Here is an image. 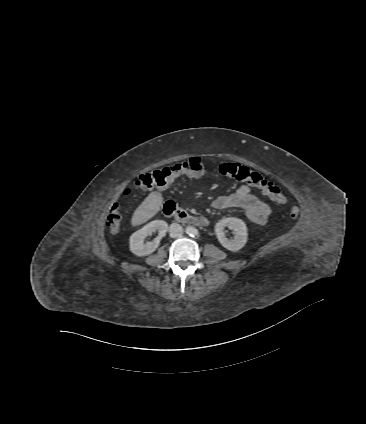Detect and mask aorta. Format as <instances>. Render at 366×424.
Returning <instances> with one entry per match:
<instances>
[{
  "instance_id": "762f6f07",
  "label": "aorta",
  "mask_w": 366,
  "mask_h": 424,
  "mask_svg": "<svg viewBox=\"0 0 366 424\" xmlns=\"http://www.w3.org/2000/svg\"><path fill=\"white\" fill-rule=\"evenodd\" d=\"M187 233L191 236H195L198 234V230L193 226H188Z\"/></svg>"
}]
</instances>
